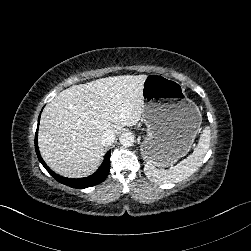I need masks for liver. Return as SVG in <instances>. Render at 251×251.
<instances>
[{
	"instance_id": "1",
	"label": "liver",
	"mask_w": 251,
	"mask_h": 251,
	"mask_svg": "<svg viewBox=\"0 0 251 251\" xmlns=\"http://www.w3.org/2000/svg\"><path fill=\"white\" fill-rule=\"evenodd\" d=\"M147 75H122L73 85L44 109L38 146L46 164L57 174L85 177L104 155L101 136L118 134L138 123L143 112V82Z\"/></svg>"
}]
</instances>
